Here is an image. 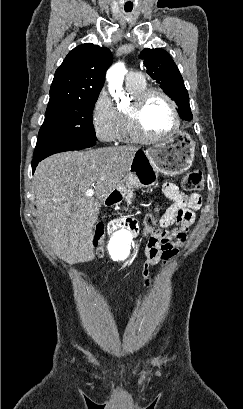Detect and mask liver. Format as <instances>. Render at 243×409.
<instances>
[{
	"instance_id": "obj_1",
	"label": "liver",
	"mask_w": 243,
	"mask_h": 409,
	"mask_svg": "<svg viewBox=\"0 0 243 409\" xmlns=\"http://www.w3.org/2000/svg\"><path fill=\"white\" fill-rule=\"evenodd\" d=\"M138 150L119 146L64 152L39 163L33 179L36 212L60 259L74 264L85 258L101 204L122 185ZM91 188L95 197L85 195Z\"/></svg>"
}]
</instances>
